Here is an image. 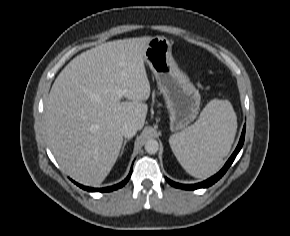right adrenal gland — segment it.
<instances>
[{"instance_id": "obj_1", "label": "right adrenal gland", "mask_w": 290, "mask_h": 236, "mask_svg": "<svg viewBox=\"0 0 290 236\" xmlns=\"http://www.w3.org/2000/svg\"><path fill=\"white\" fill-rule=\"evenodd\" d=\"M129 140H130V139H125V140H124V143H123V146H122V149H121L120 156H122L123 151H124V148H125V146H126V143H127Z\"/></svg>"}]
</instances>
